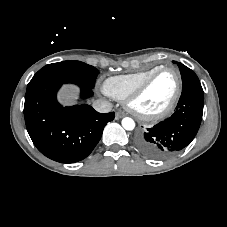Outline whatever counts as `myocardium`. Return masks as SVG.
Masks as SVG:
<instances>
[{
    "mask_svg": "<svg viewBox=\"0 0 227 227\" xmlns=\"http://www.w3.org/2000/svg\"><path fill=\"white\" fill-rule=\"evenodd\" d=\"M165 71H173L177 76V87L174 96L172 97L171 101L168 103V105L163 108L162 110L154 113H145L139 111L135 107V102L142 96V94L148 89V87L151 85V83L163 72ZM182 88H183V81L180 71L172 66H163L153 72L151 75H149L143 82H141L126 98L125 105L126 108L134 114L139 119L145 120V121H156L160 120L162 118H165L168 116L177 105L180 96L182 94Z\"/></svg>",
    "mask_w": 227,
    "mask_h": 227,
    "instance_id": "myocardium-1",
    "label": "myocardium"
}]
</instances>
